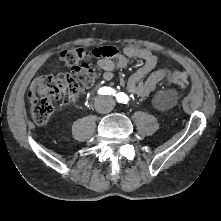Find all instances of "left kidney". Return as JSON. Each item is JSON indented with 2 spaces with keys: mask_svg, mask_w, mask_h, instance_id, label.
<instances>
[{
  "mask_svg": "<svg viewBox=\"0 0 221 221\" xmlns=\"http://www.w3.org/2000/svg\"><path fill=\"white\" fill-rule=\"evenodd\" d=\"M174 96H175V94L171 90L170 91H162V92L158 93L157 101L163 107H170L173 104Z\"/></svg>",
  "mask_w": 221,
  "mask_h": 221,
  "instance_id": "left-kidney-1",
  "label": "left kidney"
}]
</instances>
